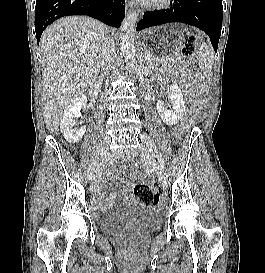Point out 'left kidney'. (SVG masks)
<instances>
[{
  "mask_svg": "<svg viewBox=\"0 0 265 273\" xmlns=\"http://www.w3.org/2000/svg\"><path fill=\"white\" fill-rule=\"evenodd\" d=\"M168 99L172 104V109L161 101H157L156 106L162 121L167 125L176 124L183 116L186 106L183 100L182 91L175 81L170 85Z\"/></svg>",
  "mask_w": 265,
  "mask_h": 273,
  "instance_id": "5707ae66",
  "label": "left kidney"
}]
</instances>
